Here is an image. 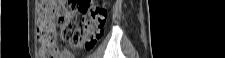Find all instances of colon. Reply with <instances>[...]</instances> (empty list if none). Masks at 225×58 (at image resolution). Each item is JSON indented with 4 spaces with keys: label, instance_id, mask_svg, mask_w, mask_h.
Wrapping results in <instances>:
<instances>
[{
    "label": "colon",
    "instance_id": "5ec220e1",
    "mask_svg": "<svg viewBox=\"0 0 225 58\" xmlns=\"http://www.w3.org/2000/svg\"><path fill=\"white\" fill-rule=\"evenodd\" d=\"M72 4L83 14L78 23L71 20ZM106 18V8L94 0L38 1L40 58H64L67 51L91 49L102 35Z\"/></svg>",
    "mask_w": 225,
    "mask_h": 58
}]
</instances>
